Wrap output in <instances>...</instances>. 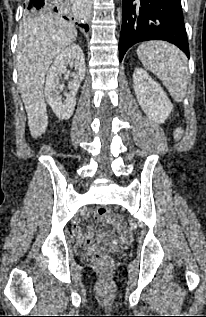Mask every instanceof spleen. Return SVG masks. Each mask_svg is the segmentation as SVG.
Returning a JSON list of instances; mask_svg holds the SVG:
<instances>
[{
	"instance_id": "1",
	"label": "spleen",
	"mask_w": 206,
	"mask_h": 317,
	"mask_svg": "<svg viewBox=\"0 0 206 317\" xmlns=\"http://www.w3.org/2000/svg\"><path fill=\"white\" fill-rule=\"evenodd\" d=\"M137 54L144 67L159 77L173 99L181 102L189 80L184 53L169 43L149 41L137 48Z\"/></svg>"
}]
</instances>
